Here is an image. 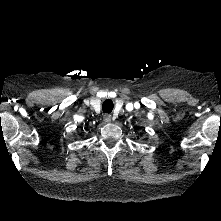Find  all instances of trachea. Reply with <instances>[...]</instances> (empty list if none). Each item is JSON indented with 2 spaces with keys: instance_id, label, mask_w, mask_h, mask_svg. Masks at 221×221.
I'll return each instance as SVG.
<instances>
[{
  "instance_id": "1",
  "label": "trachea",
  "mask_w": 221,
  "mask_h": 221,
  "mask_svg": "<svg viewBox=\"0 0 221 221\" xmlns=\"http://www.w3.org/2000/svg\"><path fill=\"white\" fill-rule=\"evenodd\" d=\"M102 110L105 113H111L113 110V102L111 100L104 101L102 105Z\"/></svg>"
}]
</instances>
